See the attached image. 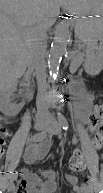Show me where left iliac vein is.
<instances>
[{"instance_id":"4c4485c4","label":"left iliac vein","mask_w":103,"mask_h":193,"mask_svg":"<svg viewBox=\"0 0 103 193\" xmlns=\"http://www.w3.org/2000/svg\"><path fill=\"white\" fill-rule=\"evenodd\" d=\"M46 131L50 134L58 135L61 132V124L55 120L47 123Z\"/></svg>"}]
</instances>
